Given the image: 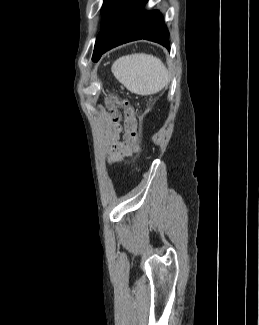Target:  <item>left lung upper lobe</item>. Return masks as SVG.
Masks as SVG:
<instances>
[{
	"mask_svg": "<svg viewBox=\"0 0 259 325\" xmlns=\"http://www.w3.org/2000/svg\"><path fill=\"white\" fill-rule=\"evenodd\" d=\"M124 1L125 0H104L102 6L103 19L101 24V32L97 36L92 57V60L94 62H97L101 57V48L104 31L106 30L111 17L114 15V13L118 10V8L122 5Z\"/></svg>",
	"mask_w": 259,
	"mask_h": 325,
	"instance_id": "5c2ea615",
	"label": "left lung upper lobe"
}]
</instances>
